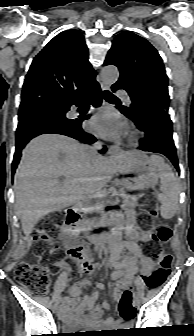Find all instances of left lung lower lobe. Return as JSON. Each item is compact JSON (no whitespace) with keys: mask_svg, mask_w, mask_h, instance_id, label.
I'll return each mask as SVG.
<instances>
[{"mask_svg":"<svg viewBox=\"0 0 194 336\" xmlns=\"http://www.w3.org/2000/svg\"><path fill=\"white\" fill-rule=\"evenodd\" d=\"M121 89L112 86V90ZM136 126L146 133V137L140 140L138 149L165 155L179 171L176 148L173 141L172 121L168 113L150 115L140 122H135Z\"/></svg>","mask_w":194,"mask_h":336,"instance_id":"1","label":"left lung lower lobe"}]
</instances>
